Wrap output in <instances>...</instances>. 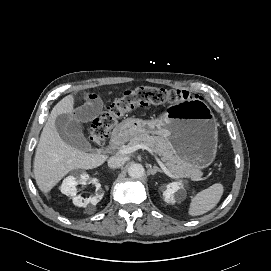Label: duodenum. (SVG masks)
Segmentation results:
<instances>
[{"label": "duodenum", "mask_w": 271, "mask_h": 271, "mask_svg": "<svg viewBox=\"0 0 271 271\" xmlns=\"http://www.w3.org/2000/svg\"><path fill=\"white\" fill-rule=\"evenodd\" d=\"M125 138V130L122 128H117L111 135L110 142L112 145H119Z\"/></svg>", "instance_id": "obj_1"}]
</instances>
